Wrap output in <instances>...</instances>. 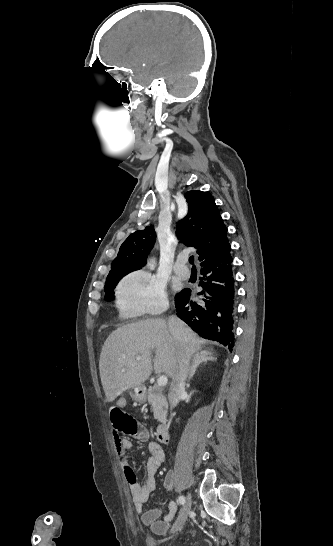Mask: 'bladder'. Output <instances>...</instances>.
Listing matches in <instances>:
<instances>
[{"instance_id": "obj_1", "label": "bladder", "mask_w": 333, "mask_h": 546, "mask_svg": "<svg viewBox=\"0 0 333 546\" xmlns=\"http://www.w3.org/2000/svg\"><path fill=\"white\" fill-rule=\"evenodd\" d=\"M145 541L148 545L150 546H156L155 545V541L153 539V536L151 534H147L146 537H145Z\"/></svg>"}]
</instances>
